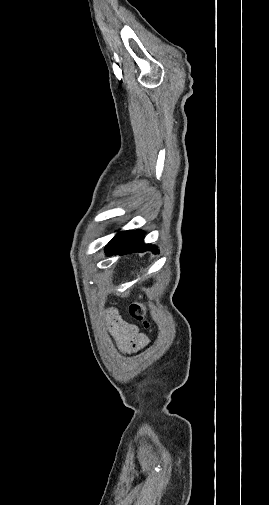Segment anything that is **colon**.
Returning <instances> with one entry per match:
<instances>
[{"label": "colon", "mask_w": 269, "mask_h": 505, "mask_svg": "<svg viewBox=\"0 0 269 505\" xmlns=\"http://www.w3.org/2000/svg\"><path fill=\"white\" fill-rule=\"evenodd\" d=\"M129 313L135 320L143 322L145 328H150V323L146 319V308L142 303H132L129 307Z\"/></svg>", "instance_id": "colon-1"}]
</instances>
